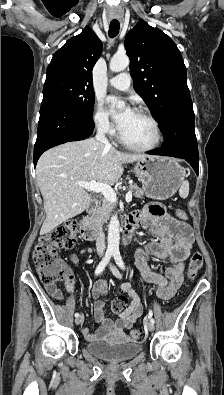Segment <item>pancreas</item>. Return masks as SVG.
<instances>
[{"mask_svg":"<svg viewBox=\"0 0 224 395\" xmlns=\"http://www.w3.org/2000/svg\"><path fill=\"white\" fill-rule=\"evenodd\" d=\"M130 190L134 192L136 198H143L146 196L144 191L139 188L136 184L130 185ZM115 204L106 199H103L101 203L94 209L92 214V220L97 226H101L106 223L110 217L111 212L114 210Z\"/></svg>","mask_w":224,"mask_h":395,"instance_id":"1","label":"pancreas"}]
</instances>
